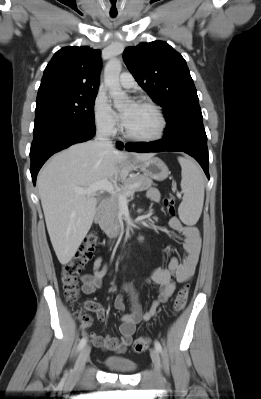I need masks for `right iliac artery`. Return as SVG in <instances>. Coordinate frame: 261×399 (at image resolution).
I'll list each match as a JSON object with an SVG mask.
<instances>
[{
	"mask_svg": "<svg viewBox=\"0 0 261 399\" xmlns=\"http://www.w3.org/2000/svg\"><path fill=\"white\" fill-rule=\"evenodd\" d=\"M86 342H87V338H86V337H83V338L80 340V342H79L78 351H80V350L86 345Z\"/></svg>",
	"mask_w": 261,
	"mask_h": 399,
	"instance_id": "right-iliac-artery-1",
	"label": "right iliac artery"
}]
</instances>
